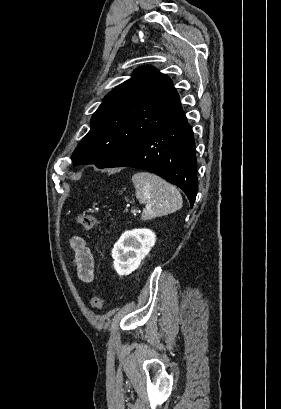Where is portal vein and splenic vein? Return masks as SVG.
Listing matches in <instances>:
<instances>
[{"mask_svg":"<svg viewBox=\"0 0 281 409\" xmlns=\"http://www.w3.org/2000/svg\"><path fill=\"white\" fill-rule=\"evenodd\" d=\"M124 213H125V214H129V213H131V214H134V213H135V214H139V213H141V210H139V209H135V210H134V209H131V210L125 209V210H124Z\"/></svg>","mask_w":281,"mask_h":409,"instance_id":"18ae733b","label":"portal vein and splenic vein"}]
</instances>
